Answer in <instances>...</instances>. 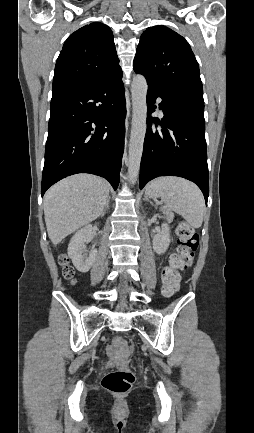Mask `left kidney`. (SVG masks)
<instances>
[{
    "mask_svg": "<svg viewBox=\"0 0 254 433\" xmlns=\"http://www.w3.org/2000/svg\"><path fill=\"white\" fill-rule=\"evenodd\" d=\"M169 226L162 224V230L153 237V249L157 254H163L170 245Z\"/></svg>",
    "mask_w": 254,
    "mask_h": 433,
    "instance_id": "left-kidney-1",
    "label": "left kidney"
}]
</instances>
